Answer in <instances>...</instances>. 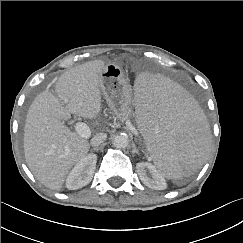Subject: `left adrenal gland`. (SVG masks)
I'll return each instance as SVG.
<instances>
[{"label": "left adrenal gland", "instance_id": "left-adrenal-gland-1", "mask_svg": "<svg viewBox=\"0 0 243 243\" xmlns=\"http://www.w3.org/2000/svg\"><path fill=\"white\" fill-rule=\"evenodd\" d=\"M133 154H139V151L137 150V148L135 146L133 147Z\"/></svg>", "mask_w": 243, "mask_h": 243}]
</instances>
